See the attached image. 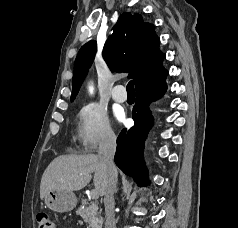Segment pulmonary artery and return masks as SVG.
<instances>
[{"label":"pulmonary artery","instance_id":"pulmonary-artery-1","mask_svg":"<svg viewBox=\"0 0 238 228\" xmlns=\"http://www.w3.org/2000/svg\"><path fill=\"white\" fill-rule=\"evenodd\" d=\"M112 98L119 103H123L127 99L125 88L123 85H116L112 90Z\"/></svg>","mask_w":238,"mask_h":228}]
</instances>
